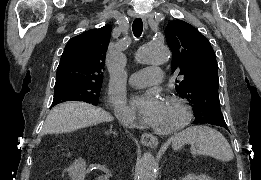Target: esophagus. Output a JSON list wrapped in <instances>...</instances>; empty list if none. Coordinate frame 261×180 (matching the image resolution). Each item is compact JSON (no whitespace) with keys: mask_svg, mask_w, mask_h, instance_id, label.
Returning a JSON list of instances; mask_svg holds the SVG:
<instances>
[{"mask_svg":"<svg viewBox=\"0 0 261 180\" xmlns=\"http://www.w3.org/2000/svg\"><path fill=\"white\" fill-rule=\"evenodd\" d=\"M139 16L142 18L145 28H147L146 16L145 15H139ZM141 143H143V145H147V147L156 148L159 141H158L157 137H155L151 133H143L141 135Z\"/></svg>","mask_w":261,"mask_h":180,"instance_id":"obj_1","label":"esophagus"}]
</instances>
